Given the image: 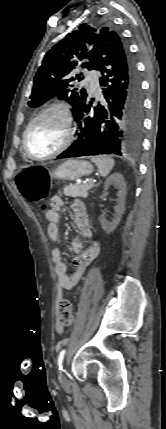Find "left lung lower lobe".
Wrapping results in <instances>:
<instances>
[{"instance_id":"0a47b994","label":"left lung lower lobe","mask_w":166,"mask_h":429,"mask_svg":"<svg viewBox=\"0 0 166 429\" xmlns=\"http://www.w3.org/2000/svg\"><path fill=\"white\" fill-rule=\"evenodd\" d=\"M93 69L99 70L104 101L87 100L75 117L77 140L58 158L100 154L135 155L143 129V95L135 62L120 36L101 46Z\"/></svg>"}]
</instances>
